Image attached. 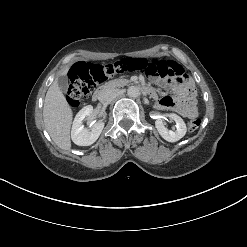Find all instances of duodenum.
Instances as JSON below:
<instances>
[{
    "label": "duodenum",
    "instance_id": "duodenum-1",
    "mask_svg": "<svg viewBox=\"0 0 247 247\" xmlns=\"http://www.w3.org/2000/svg\"><path fill=\"white\" fill-rule=\"evenodd\" d=\"M142 91L148 95H151V91L148 87L142 86ZM106 91V86L97 88L92 94V100L95 102H101Z\"/></svg>",
    "mask_w": 247,
    "mask_h": 247
}]
</instances>
